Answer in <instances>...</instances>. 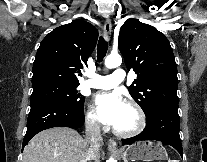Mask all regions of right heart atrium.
<instances>
[{"instance_id": "obj_1", "label": "right heart atrium", "mask_w": 207, "mask_h": 162, "mask_svg": "<svg viewBox=\"0 0 207 162\" xmlns=\"http://www.w3.org/2000/svg\"><path fill=\"white\" fill-rule=\"evenodd\" d=\"M85 121H86L87 125L92 128L99 127L100 122H99L98 116H97L93 107H89V109L87 110V112L85 114Z\"/></svg>"}]
</instances>
